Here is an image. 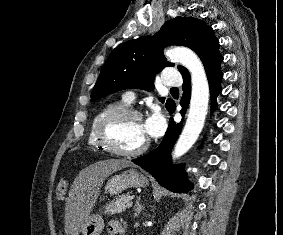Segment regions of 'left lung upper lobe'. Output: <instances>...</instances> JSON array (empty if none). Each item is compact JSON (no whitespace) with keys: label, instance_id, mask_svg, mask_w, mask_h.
<instances>
[{"label":"left lung upper lobe","instance_id":"1","mask_svg":"<svg viewBox=\"0 0 283 235\" xmlns=\"http://www.w3.org/2000/svg\"><path fill=\"white\" fill-rule=\"evenodd\" d=\"M166 45L191 48L201 58L205 70L223 60L213 29L199 19L179 16L166 22L154 36H143L118 45L97 79L91 100L127 88L153 90L155 74L166 66H174L163 55ZM178 69L183 78L190 76L185 67L178 66ZM160 101L163 103L164 99L160 98ZM174 104L173 100H167L165 106L169 112Z\"/></svg>","mask_w":283,"mask_h":235}]
</instances>
